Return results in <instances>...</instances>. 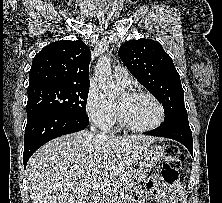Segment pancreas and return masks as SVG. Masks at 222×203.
I'll return each mask as SVG.
<instances>
[{
	"mask_svg": "<svg viewBox=\"0 0 222 203\" xmlns=\"http://www.w3.org/2000/svg\"><path fill=\"white\" fill-rule=\"evenodd\" d=\"M145 175L139 173L136 169L130 168L123 172L120 176V180H126L128 184L134 185L145 179ZM100 203H114L117 199V193L112 191L103 192L99 197Z\"/></svg>",
	"mask_w": 222,
	"mask_h": 203,
	"instance_id": "1",
	"label": "pancreas"
}]
</instances>
